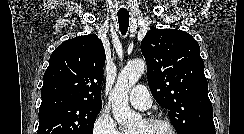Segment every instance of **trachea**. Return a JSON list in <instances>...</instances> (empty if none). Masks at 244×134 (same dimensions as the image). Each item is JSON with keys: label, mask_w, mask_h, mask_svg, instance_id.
<instances>
[{"label": "trachea", "mask_w": 244, "mask_h": 134, "mask_svg": "<svg viewBox=\"0 0 244 134\" xmlns=\"http://www.w3.org/2000/svg\"><path fill=\"white\" fill-rule=\"evenodd\" d=\"M117 16L121 34L125 35L129 27V13H118Z\"/></svg>", "instance_id": "obj_1"}]
</instances>
